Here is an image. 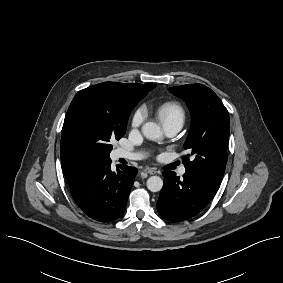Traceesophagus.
<instances>
[{"label": "esophagus", "mask_w": 283, "mask_h": 283, "mask_svg": "<svg viewBox=\"0 0 283 283\" xmlns=\"http://www.w3.org/2000/svg\"><path fill=\"white\" fill-rule=\"evenodd\" d=\"M144 172H146V173H148V174H150V175H154V174L157 173L156 169L151 168V167H146V168L144 169Z\"/></svg>", "instance_id": "1"}]
</instances>
